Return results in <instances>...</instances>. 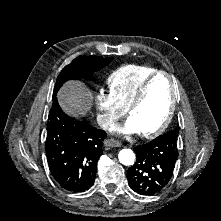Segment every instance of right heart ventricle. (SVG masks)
Here are the masks:
<instances>
[{"mask_svg":"<svg viewBox=\"0 0 221 221\" xmlns=\"http://www.w3.org/2000/svg\"><path fill=\"white\" fill-rule=\"evenodd\" d=\"M158 69L144 64H127L112 71L106 79L109 91L124 108L140 85Z\"/></svg>","mask_w":221,"mask_h":221,"instance_id":"obj_1","label":"right heart ventricle"}]
</instances>
